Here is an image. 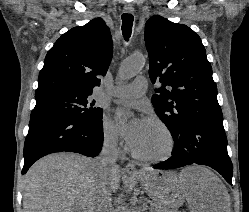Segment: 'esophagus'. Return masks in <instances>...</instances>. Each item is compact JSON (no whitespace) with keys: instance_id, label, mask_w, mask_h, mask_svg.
<instances>
[{"instance_id":"34e87169","label":"esophagus","mask_w":249,"mask_h":212,"mask_svg":"<svg viewBox=\"0 0 249 212\" xmlns=\"http://www.w3.org/2000/svg\"><path fill=\"white\" fill-rule=\"evenodd\" d=\"M124 12L133 13L134 9L132 7H124ZM125 172L130 175H142V172L136 169L135 165L131 162H128L125 167Z\"/></svg>"}]
</instances>
